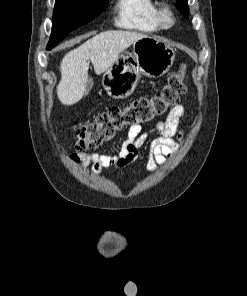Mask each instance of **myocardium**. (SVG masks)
I'll return each instance as SVG.
<instances>
[{
	"instance_id": "1",
	"label": "myocardium",
	"mask_w": 247,
	"mask_h": 296,
	"mask_svg": "<svg viewBox=\"0 0 247 296\" xmlns=\"http://www.w3.org/2000/svg\"><path fill=\"white\" fill-rule=\"evenodd\" d=\"M158 22L161 28L169 29L175 23V17L172 10L168 6L158 8Z\"/></svg>"
}]
</instances>
